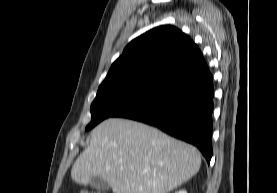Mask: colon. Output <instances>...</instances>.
Here are the masks:
<instances>
[{"instance_id": "1", "label": "colon", "mask_w": 277, "mask_h": 193, "mask_svg": "<svg viewBox=\"0 0 277 193\" xmlns=\"http://www.w3.org/2000/svg\"><path fill=\"white\" fill-rule=\"evenodd\" d=\"M79 193H97V192H91V191L82 190Z\"/></svg>"}]
</instances>
